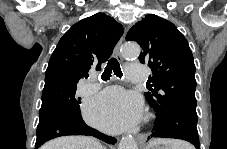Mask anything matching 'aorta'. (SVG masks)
Wrapping results in <instances>:
<instances>
[{
  "mask_svg": "<svg viewBox=\"0 0 227 149\" xmlns=\"http://www.w3.org/2000/svg\"><path fill=\"white\" fill-rule=\"evenodd\" d=\"M139 54L140 47L136 44H127L122 50L123 57L127 59L137 58ZM119 149H138V147L135 140L132 137L127 136L121 140Z\"/></svg>",
  "mask_w": 227,
  "mask_h": 149,
  "instance_id": "762f6f07",
  "label": "aorta"
}]
</instances>
